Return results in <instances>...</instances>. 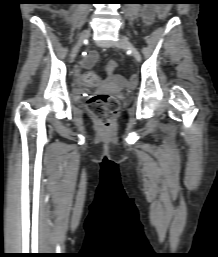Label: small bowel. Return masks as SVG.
Wrapping results in <instances>:
<instances>
[{"label":"small bowel","mask_w":218,"mask_h":257,"mask_svg":"<svg viewBox=\"0 0 218 257\" xmlns=\"http://www.w3.org/2000/svg\"><path fill=\"white\" fill-rule=\"evenodd\" d=\"M157 9H155L154 7H151V6H148V7H145L143 9V18L145 20V22L147 24H151L153 22V20L155 19V17L157 16ZM161 17V16H160ZM97 59V54L96 52L94 51H91L87 56L86 58L84 59L83 61V66L84 67H92V65L94 64V62L96 61ZM81 75L82 73H74V78H77L76 79V84H78V81L79 80H82L81 78ZM97 80H100V79H97Z\"/></svg>","instance_id":"1"}]
</instances>
